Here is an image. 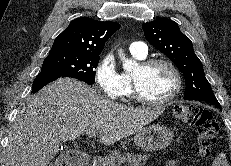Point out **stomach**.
<instances>
[{"label":"stomach","mask_w":231,"mask_h":166,"mask_svg":"<svg viewBox=\"0 0 231 166\" xmlns=\"http://www.w3.org/2000/svg\"><path fill=\"white\" fill-rule=\"evenodd\" d=\"M172 131L165 125L154 124L138 130L134 135V143L144 151H158L170 145Z\"/></svg>","instance_id":"1"}]
</instances>
